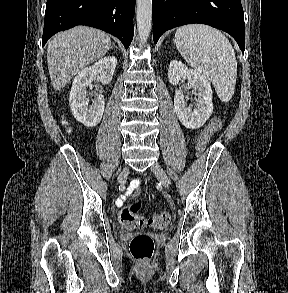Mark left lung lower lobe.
Here are the masks:
<instances>
[{"mask_svg":"<svg viewBox=\"0 0 288 293\" xmlns=\"http://www.w3.org/2000/svg\"><path fill=\"white\" fill-rule=\"evenodd\" d=\"M153 40L167 30L201 23L229 33L244 53V13L241 0H152Z\"/></svg>","mask_w":288,"mask_h":293,"instance_id":"1","label":"left lung lower lobe"}]
</instances>
